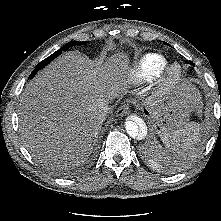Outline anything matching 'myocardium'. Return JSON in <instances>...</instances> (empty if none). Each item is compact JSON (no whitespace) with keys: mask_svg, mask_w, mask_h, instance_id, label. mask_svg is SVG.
<instances>
[{"mask_svg":"<svg viewBox=\"0 0 221 221\" xmlns=\"http://www.w3.org/2000/svg\"><path fill=\"white\" fill-rule=\"evenodd\" d=\"M183 78L184 69L180 63L174 62L168 65L159 76L150 103L155 105L168 100L179 88Z\"/></svg>","mask_w":221,"mask_h":221,"instance_id":"1","label":"myocardium"}]
</instances>
